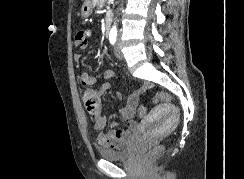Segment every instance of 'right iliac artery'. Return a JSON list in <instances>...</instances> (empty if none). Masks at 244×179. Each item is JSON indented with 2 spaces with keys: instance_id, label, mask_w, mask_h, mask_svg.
<instances>
[{
  "instance_id": "1",
  "label": "right iliac artery",
  "mask_w": 244,
  "mask_h": 179,
  "mask_svg": "<svg viewBox=\"0 0 244 179\" xmlns=\"http://www.w3.org/2000/svg\"><path fill=\"white\" fill-rule=\"evenodd\" d=\"M116 38H117V33L115 32V33H110L109 34V40H110V43L111 44H115V42H116Z\"/></svg>"
}]
</instances>
